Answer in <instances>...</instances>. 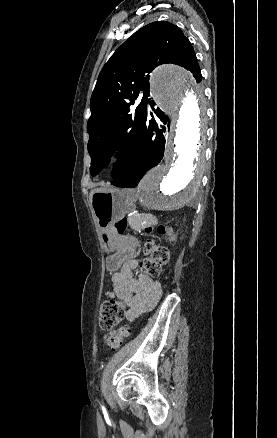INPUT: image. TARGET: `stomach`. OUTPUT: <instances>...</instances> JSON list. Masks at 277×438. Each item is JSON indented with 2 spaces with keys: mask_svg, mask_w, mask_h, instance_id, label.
<instances>
[{
  "mask_svg": "<svg viewBox=\"0 0 277 438\" xmlns=\"http://www.w3.org/2000/svg\"><path fill=\"white\" fill-rule=\"evenodd\" d=\"M91 205L101 230V245L105 252H115L106 258V268L117 270L131 248L129 237L117 234L113 226L135 209L134 197L128 189L109 188L92 194Z\"/></svg>",
  "mask_w": 277,
  "mask_h": 438,
  "instance_id": "obj_1",
  "label": "stomach"
}]
</instances>
